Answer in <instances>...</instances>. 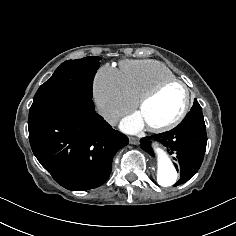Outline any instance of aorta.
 <instances>
[{
	"label": "aorta",
	"mask_w": 236,
	"mask_h": 236,
	"mask_svg": "<svg viewBox=\"0 0 236 236\" xmlns=\"http://www.w3.org/2000/svg\"><path fill=\"white\" fill-rule=\"evenodd\" d=\"M155 150L158 155L157 182L163 187L172 186L177 181L178 173L166 152L158 146Z\"/></svg>",
	"instance_id": "1"
}]
</instances>
